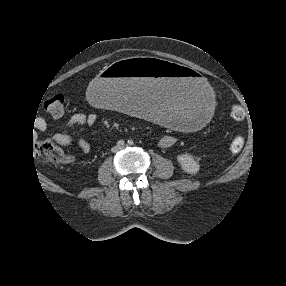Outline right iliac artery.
<instances>
[{
	"label": "right iliac artery",
	"mask_w": 286,
	"mask_h": 286,
	"mask_svg": "<svg viewBox=\"0 0 286 286\" xmlns=\"http://www.w3.org/2000/svg\"><path fill=\"white\" fill-rule=\"evenodd\" d=\"M117 145H118L119 148H121V147H123L125 145V141L124 140H119L117 142Z\"/></svg>",
	"instance_id": "82829eb1"
}]
</instances>
